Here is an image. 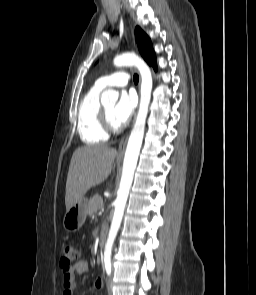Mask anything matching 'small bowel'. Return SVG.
I'll return each mask as SVG.
<instances>
[{
    "instance_id": "small-bowel-1",
    "label": "small bowel",
    "mask_w": 256,
    "mask_h": 295,
    "mask_svg": "<svg viewBox=\"0 0 256 295\" xmlns=\"http://www.w3.org/2000/svg\"><path fill=\"white\" fill-rule=\"evenodd\" d=\"M88 270V263L85 258L79 259L70 269H63L62 271V286L63 295H73L76 288L75 275H82ZM104 282L101 278L93 282L95 289H102Z\"/></svg>"
}]
</instances>
